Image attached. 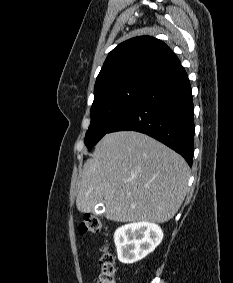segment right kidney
<instances>
[{"instance_id": "ca27d5eb", "label": "right kidney", "mask_w": 233, "mask_h": 283, "mask_svg": "<svg viewBox=\"0 0 233 283\" xmlns=\"http://www.w3.org/2000/svg\"><path fill=\"white\" fill-rule=\"evenodd\" d=\"M161 228L149 222H133L115 231L114 242L120 262L132 264L153 252L161 243Z\"/></svg>"}]
</instances>
